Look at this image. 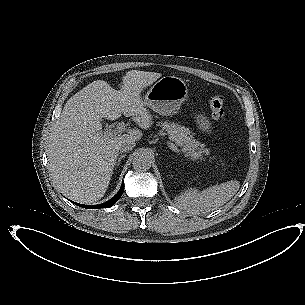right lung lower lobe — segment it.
I'll list each match as a JSON object with an SVG mask.
<instances>
[{
  "instance_id": "98d812e1",
  "label": "right lung lower lobe",
  "mask_w": 305,
  "mask_h": 305,
  "mask_svg": "<svg viewBox=\"0 0 305 305\" xmlns=\"http://www.w3.org/2000/svg\"><path fill=\"white\" fill-rule=\"evenodd\" d=\"M123 191H124V182L122 183L118 193L113 198H111L109 201H107L105 203H102L99 205H83V204H78V203H74V204H76L80 207H83V208H88V209L109 208V207L113 206L119 200V198L123 194Z\"/></svg>"
}]
</instances>
